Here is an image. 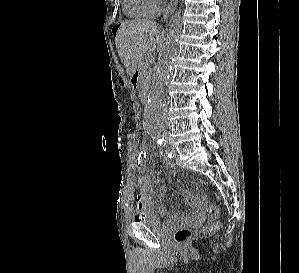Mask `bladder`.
I'll return each instance as SVG.
<instances>
[{"label": "bladder", "mask_w": 299, "mask_h": 273, "mask_svg": "<svg viewBox=\"0 0 299 273\" xmlns=\"http://www.w3.org/2000/svg\"><path fill=\"white\" fill-rule=\"evenodd\" d=\"M136 223L143 224L149 228H151L154 231L157 232H164L166 228V223L161 218L160 215H158L155 212H152L150 210H144L141 214L138 220H136Z\"/></svg>", "instance_id": "1"}]
</instances>
